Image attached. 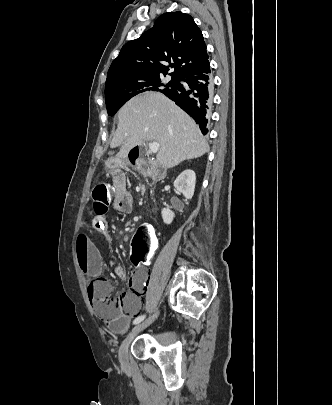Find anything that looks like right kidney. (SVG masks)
<instances>
[{"label":"right kidney","instance_id":"1","mask_svg":"<svg viewBox=\"0 0 332 405\" xmlns=\"http://www.w3.org/2000/svg\"><path fill=\"white\" fill-rule=\"evenodd\" d=\"M195 183V172L193 170H185L174 181V187L181 192L186 199L190 200L194 195ZM161 215L166 225H170L175 217V213L168 208H163Z\"/></svg>","mask_w":332,"mask_h":405}]
</instances>
